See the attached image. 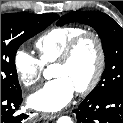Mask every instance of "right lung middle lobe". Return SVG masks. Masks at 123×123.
Listing matches in <instances>:
<instances>
[{
	"mask_svg": "<svg viewBox=\"0 0 123 123\" xmlns=\"http://www.w3.org/2000/svg\"><path fill=\"white\" fill-rule=\"evenodd\" d=\"M56 14L8 13L1 15V92L20 91L15 55L19 46L44 30Z\"/></svg>",
	"mask_w": 123,
	"mask_h": 123,
	"instance_id": "right-lung-middle-lobe-1",
	"label": "right lung middle lobe"
}]
</instances>
